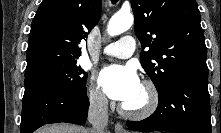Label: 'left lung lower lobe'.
I'll return each mask as SVG.
<instances>
[{
	"label": "left lung lower lobe",
	"mask_w": 221,
	"mask_h": 133,
	"mask_svg": "<svg viewBox=\"0 0 221 133\" xmlns=\"http://www.w3.org/2000/svg\"><path fill=\"white\" fill-rule=\"evenodd\" d=\"M136 131L211 133V109L206 77L184 75L159 93L157 110L142 121H128Z\"/></svg>",
	"instance_id": "1"
}]
</instances>
